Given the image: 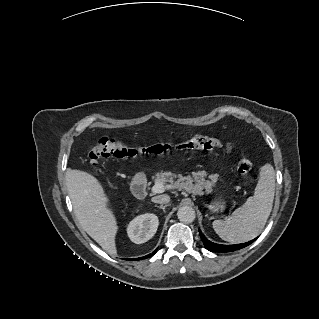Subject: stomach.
<instances>
[{
    "label": "stomach",
    "mask_w": 319,
    "mask_h": 319,
    "mask_svg": "<svg viewBox=\"0 0 319 319\" xmlns=\"http://www.w3.org/2000/svg\"><path fill=\"white\" fill-rule=\"evenodd\" d=\"M215 208H216L217 211H223L224 210V205L219 202V203L216 204Z\"/></svg>",
    "instance_id": "0dacf381"
}]
</instances>
